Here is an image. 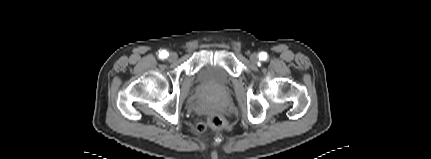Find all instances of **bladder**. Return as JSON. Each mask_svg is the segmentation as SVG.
<instances>
[{"mask_svg":"<svg viewBox=\"0 0 431 159\" xmlns=\"http://www.w3.org/2000/svg\"><path fill=\"white\" fill-rule=\"evenodd\" d=\"M197 81L204 88L221 91L231 83V76L220 61L209 60L197 72Z\"/></svg>","mask_w":431,"mask_h":159,"instance_id":"1","label":"bladder"}]
</instances>
